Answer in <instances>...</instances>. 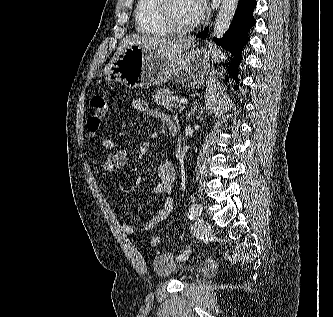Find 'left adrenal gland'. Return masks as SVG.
I'll return each instance as SVG.
<instances>
[{"instance_id": "left-adrenal-gland-1", "label": "left adrenal gland", "mask_w": 333, "mask_h": 317, "mask_svg": "<svg viewBox=\"0 0 333 317\" xmlns=\"http://www.w3.org/2000/svg\"><path fill=\"white\" fill-rule=\"evenodd\" d=\"M197 112V105L194 103L193 107L191 108L190 112L187 115V120L190 119L191 116H193Z\"/></svg>"}]
</instances>
